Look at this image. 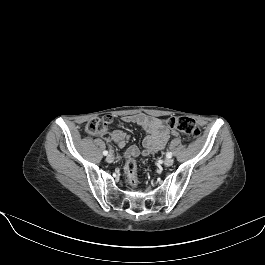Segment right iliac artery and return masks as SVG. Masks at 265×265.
<instances>
[{"mask_svg": "<svg viewBox=\"0 0 265 265\" xmlns=\"http://www.w3.org/2000/svg\"><path fill=\"white\" fill-rule=\"evenodd\" d=\"M103 155H105V156L108 155V151H106V150L103 151Z\"/></svg>", "mask_w": 265, "mask_h": 265, "instance_id": "82829eb1", "label": "right iliac artery"}]
</instances>
